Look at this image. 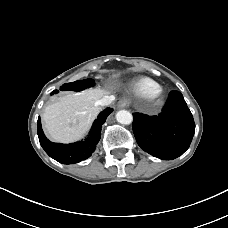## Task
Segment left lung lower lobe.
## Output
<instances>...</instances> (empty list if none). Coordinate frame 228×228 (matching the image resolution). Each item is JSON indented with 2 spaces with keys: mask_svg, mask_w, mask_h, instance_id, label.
Returning <instances> with one entry per match:
<instances>
[{
  "mask_svg": "<svg viewBox=\"0 0 228 228\" xmlns=\"http://www.w3.org/2000/svg\"><path fill=\"white\" fill-rule=\"evenodd\" d=\"M133 117L136 141L145 152L160 159L172 160L189 148L195 123L180 92H170L158 116L133 113Z\"/></svg>",
  "mask_w": 228,
  "mask_h": 228,
  "instance_id": "obj_1",
  "label": "left lung lower lobe"
}]
</instances>
